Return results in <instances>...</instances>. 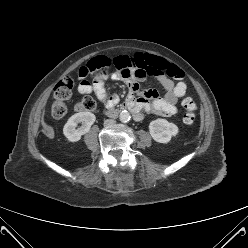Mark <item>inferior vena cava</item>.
<instances>
[{"mask_svg": "<svg viewBox=\"0 0 248 248\" xmlns=\"http://www.w3.org/2000/svg\"><path fill=\"white\" fill-rule=\"evenodd\" d=\"M115 124V120L113 119H107L104 121V126L109 127V126H113Z\"/></svg>", "mask_w": 248, "mask_h": 248, "instance_id": "1", "label": "inferior vena cava"}]
</instances>
